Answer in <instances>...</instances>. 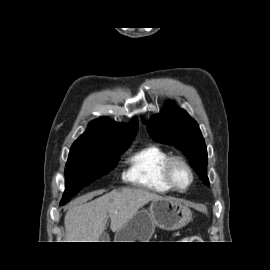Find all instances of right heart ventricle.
<instances>
[{"instance_id":"e07e8e85","label":"right heart ventricle","mask_w":270,"mask_h":270,"mask_svg":"<svg viewBox=\"0 0 270 270\" xmlns=\"http://www.w3.org/2000/svg\"><path fill=\"white\" fill-rule=\"evenodd\" d=\"M170 154L156 144H149L131 153L126 160L123 178L126 182L155 193H168L173 189L164 176V167Z\"/></svg>"}]
</instances>
